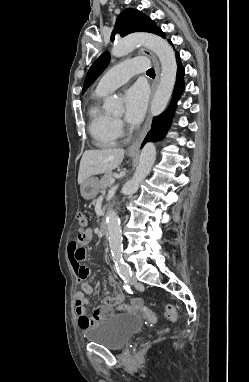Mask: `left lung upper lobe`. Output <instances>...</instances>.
Segmentation results:
<instances>
[{"mask_svg":"<svg viewBox=\"0 0 249 382\" xmlns=\"http://www.w3.org/2000/svg\"><path fill=\"white\" fill-rule=\"evenodd\" d=\"M133 32H151L165 38L161 29H159L149 17L136 9L128 8L119 15L115 28L111 34V40H114L117 33H120L121 36H126ZM109 61L110 55L105 52L92 64L85 78L83 92H85L105 70Z\"/></svg>","mask_w":249,"mask_h":382,"instance_id":"1","label":"left lung upper lobe"}]
</instances>
